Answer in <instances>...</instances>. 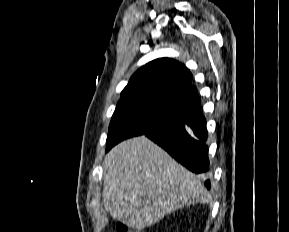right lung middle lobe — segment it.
Here are the masks:
<instances>
[{"label": "right lung middle lobe", "mask_w": 289, "mask_h": 232, "mask_svg": "<svg viewBox=\"0 0 289 232\" xmlns=\"http://www.w3.org/2000/svg\"><path fill=\"white\" fill-rule=\"evenodd\" d=\"M182 111L137 99H120L112 116L106 151L120 141L178 119Z\"/></svg>", "instance_id": "1"}]
</instances>
